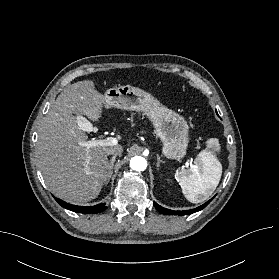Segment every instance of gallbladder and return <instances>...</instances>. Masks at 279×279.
I'll return each mask as SVG.
<instances>
[{
  "mask_svg": "<svg viewBox=\"0 0 279 279\" xmlns=\"http://www.w3.org/2000/svg\"><path fill=\"white\" fill-rule=\"evenodd\" d=\"M77 121H78V124L80 125V123L83 121V118L81 116H77Z\"/></svg>",
  "mask_w": 279,
  "mask_h": 279,
  "instance_id": "gallbladder-1",
  "label": "gallbladder"
}]
</instances>
